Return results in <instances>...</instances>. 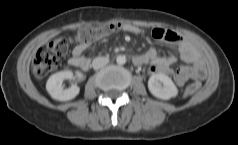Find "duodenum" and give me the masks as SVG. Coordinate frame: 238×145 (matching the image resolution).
I'll use <instances>...</instances> for the list:
<instances>
[{"mask_svg": "<svg viewBox=\"0 0 238 145\" xmlns=\"http://www.w3.org/2000/svg\"><path fill=\"white\" fill-rule=\"evenodd\" d=\"M132 61H133V63H134L135 65H137V63H138V59H137L136 56L132 58ZM88 68H89V67H88Z\"/></svg>", "mask_w": 238, "mask_h": 145, "instance_id": "obj_1", "label": "duodenum"}]
</instances>
